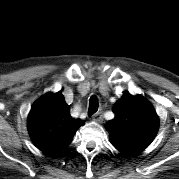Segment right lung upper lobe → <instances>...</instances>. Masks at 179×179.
I'll return each instance as SVG.
<instances>
[{"instance_id": "obj_1", "label": "right lung upper lobe", "mask_w": 179, "mask_h": 179, "mask_svg": "<svg viewBox=\"0 0 179 179\" xmlns=\"http://www.w3.org/2000/svg\"><path fill=\"white\" fill-rule=\"evenodd\" d=\"M82 124V120L70 116V107L61 92L42 96L28 115V131L34 145L51 155L64 150Z\"/></svg>"}]
</instances>
